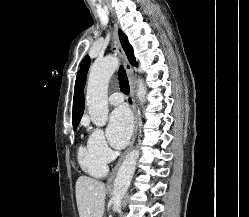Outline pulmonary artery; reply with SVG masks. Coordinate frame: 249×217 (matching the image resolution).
Returning a JSON list of instances; mask_svg holds the SVG:
<instances>
[{
	"label": "pulmonary artery",
	"mask_w": 249,
	"mask_h": 217,
	"mask_svg": "<svg viewBox=\"0 0 249 217\" xmlns=\"http://www.w3.org/2000/svg\"><path fill=\"white\" fill-rule=\"evenodd\" d=\"M123 100H124V97L119 92H115V93L111 94L109 97V102L112 105H119L123 102Z\"/></svg>",
	"instance_id": "1"
}]
</instances>
